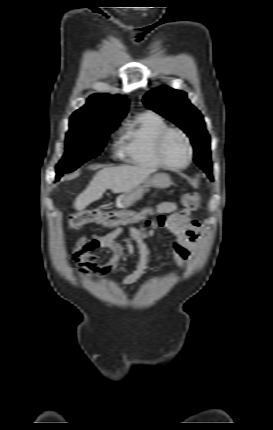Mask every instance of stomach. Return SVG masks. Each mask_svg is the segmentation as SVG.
I'll return each mask as SVG.
<instances>
[{
	"label": "stomach",
	"mask_w": 273,
	"mask_h": 430,
	"mask_svg": "<svg viewBox=\"0 0 273 430\" xmlns=\"http://www.w3.org/2000/svg\"><path fill=\"white\" fill-rule=\"evenodd\" d=\"M170 185H172V181L168 174L152 173L142 183L121 195V203H117V206L124 208L131 206L135 201L141 199L143 194L148 191L151 186L156 188H168Z\"/></svg>",
	"instance_id": "0dacf381"
}]
</instances>
